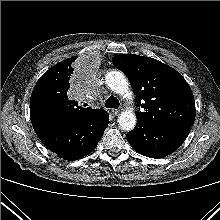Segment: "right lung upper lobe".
Returning a JSON list of instances; mask_svg holds the SVG:
<instances>
[{
	"mask_svg": "<svg viewBox=\"0 0 220 220\" xmlns=\"http://www.w3.org/2000/svg\"><path fill=\"white\" fill-rule=\"evenodd\" d=\"M77 57L68 58L51 67L36 83L30 98L31 121L41 118L78 121L89 115L103 112V109L83 108L68 97L73 62Z\"/></svg>",
	"mask_w": 220,
	"mask_h": 220,
	"instance_id": "obj_1",
	"label": "right lung upper lobe"
}]
</instances>
